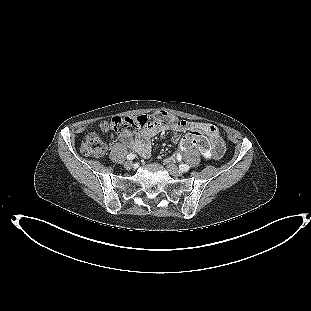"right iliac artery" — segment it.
Segmentation results:
<instances>
[{
    "label": "right iliac artery",
    "mask_w": 311,
    "mask_h": 311,
    "mask_svg": "<svg viewBox=\"0 0 311 311\" xmlns=\"http://www.w3.org/2000/svg\"><path fill=\"white\" fill-rule=\"evenodd\" d=\"M135 157H136V155L131 153V154L127 155L126 158H127L128 160H132V159H134Z\"/></svg>",
    "instance_id": "right-iliac-artery-1"
}]
</instances>
